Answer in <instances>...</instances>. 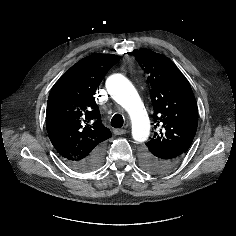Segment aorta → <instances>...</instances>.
I'll list each match as a JSON object with an SVG mask.
<instances>
[{
  "instance_id": "aorta-1",
  "label": "aorta",
  "mask_w": 236,
  "mask_h": 236,
  "mask_svg": "<svg viewBox=\"0 0 236 236\" xmlns=\"http://www.w3.org/2000/svg\"><path fill=\"white\" fill-rule=\"evenodd\" d=\"M111 97L129 114L132 123V137L144 142L150 134V121L144 104L133 84L121 74H113L106 81Z\"/></svg>"
}]
</instances>
